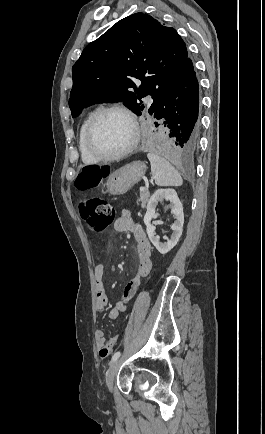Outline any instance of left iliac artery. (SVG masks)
Wrapping results in <instances>:
<instances>
[{"instance_id":"left-iliac-artery-1","label":"left iliac artery","mask_w":265,"mask_h":434,"mask_svg":"<svg viewBox=\"0 0 265 434\" xmlns=\"http://www.w3.org/2000/svg\"><path fill=\"white\" fill-rule=\"evenodd\" d=\"M120 355H121L120 351L114 353V355L112 356V359H111L110 363H113L114 361H116L120 357Z\"/></svg>"}]
</instances>
